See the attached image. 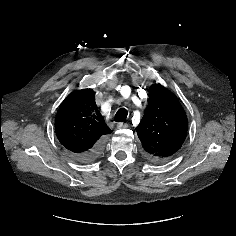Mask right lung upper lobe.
Instances as JSON below:
<instances>
[{
	"label": "right lung upper lobe",
	"mask_w": 236,
	"mask_h": 236,
	"mask_svg": "<svg viewBox=\"0 0 236 236\" xmlns=\"http://www.w3.org/2000/svg\"><path fill=\"white\" fill-rule=\"evenodd\" d=\"M55 132L60 143L72 153L88 151L111 133L92 89L72 92L64 99L56 114Z\"/></svg>",
	"instance_id": "cb5924a9"
}]
</instances>
